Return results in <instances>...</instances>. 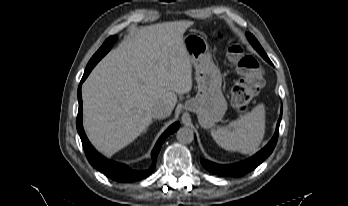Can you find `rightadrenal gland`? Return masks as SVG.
Here are the masks:
<instances>
[{
    "label": "right adrenal gland",
    "instance_id": "1",
    "mask_svg": "<svg viewBox=\"0 0 348 206\" xmlns=\"http://www.w3.org/2000/svg\"><path fill=\"white\" fill-rule=\"evenodd\" d=\"M151 123H152V122H151ZM147 129H148V128H146V129L143 131V133H145V132L147 131Z\"/></svg>",
    "mask_w": 348,
    "mask_h": 206
}]
</instances>
